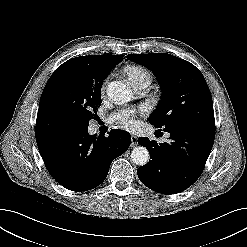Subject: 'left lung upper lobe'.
Returning <instances> with one entry per match:
<instances>
[{
  "label": "left lung upper lobe",
  "mask_w": 247,
  "mask_h": 247,
  "mask_svg": "<svg viewBox=\"0 0 247 247\" xmlns=\"http://www.w3.org/2000/svg\"><path fill=\"white\" fill-rule=\"evenodd\" d=\"M127 59L149 68L162 88L161 100L149 117L150 124L165 132H215L211 93L198 68L167 53L129 54Z\"/></svg>",
  "instance_id": "left-lung-upper-lobe-1"
}]
</instances>
